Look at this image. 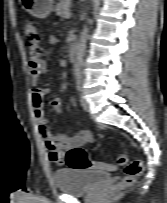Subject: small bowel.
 <instances>
[{"instance_id": "obj_1", "label": "small bowel", "mask_w": 167, "mask_h": 203, "mask_svg": "<svg viewBox=\"0 0 167 203\" xmlns=\"http://www.w3.org/2000/svg\"><path fill=\"white\" fill-rule=\"evenodd\" d=\"M55 39L51 37L49 43H54ZM48 71V65L44 61H40L37 65L29 63V76L33 85H36L41 75ZM50 93L47 88L34 87L31 92L33 113L38 124L39 130L44 137L46 148L49 151L50 161L56 164H63L65 161L64 152L73 147L82 146L93 141V134L88 130H81L74 134L56 133L51 134L49 122L45 116L43 99ZM51 107L55 112H59L61 107V99L55 95L51 99ZM71 105L76 106L75 99L71 100ZM105 164V163H104ZM113 168L110 164H105L103 169Z\"/></svg>"}]
</instances>
